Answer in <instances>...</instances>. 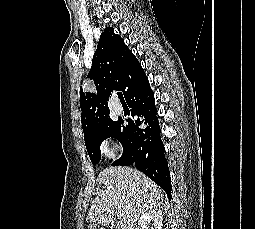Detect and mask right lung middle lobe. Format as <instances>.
<instances>
[{"label": "right lung middle lobe", "mask_w": 255, "mask_h": 229, "mask_svg": "<svg viewBox=\"0 0 255 229\" xmlns=\"http://www.w3.org/2000/svg\"><path fill=\"white\" fill-rule=\"evenodd\" d=\"M109 137L116 138L123 146V154L120 159L112 163L113 166L118 165L123 158L130 155L131 141L127 133V128L123 126V121H112L108 119L96 129L91 138L85 141L88 155L93 164H97L100 161V144Z\"/></svg>", "instance_id": "right-lung-middle-lobe-1"}]
</instances>
